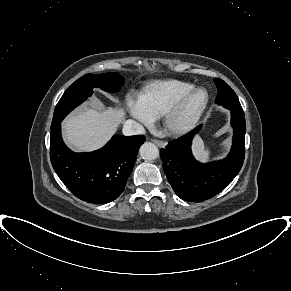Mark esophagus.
Segmentation results:
<instances>
[{
	"mask_svg": "<svg viewBox=\"0 0 291 291\" xmlns=\"http://www.w3.org/2000/svg\"><path fill=\"white\" fill-rule=\"evenodd\" d=\"M152 142L154 144H156L157 146H159V147H165L166 146V143H164L163 141L158 140V139H152Z\"/></svg>",
	"mask_w": 291,
	"mask_h": 291,
	"instance_id": "esophagus-1",
	"label": "esophagus"
}]
</instances>
